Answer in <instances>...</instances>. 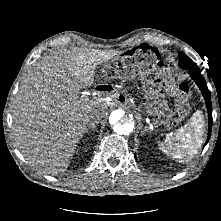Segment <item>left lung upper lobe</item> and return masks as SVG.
Segmentation results:
<instances>
[{"instance_id":"obj_1","label":"left lung upper lobe","mask_w":221,"mask_h":221,"mask_svg":"<svg viewBox=\"0 0 221 221\" xmlns=\"http://www.w3.org/2000/svg\"><path fill=\"white\" fill-rule=\"evenodd\" d=\"M179 66L185 70H199L195 62H193L187 55L179 53Z\"/></svg>"}]
</instances>
